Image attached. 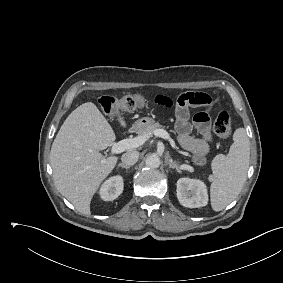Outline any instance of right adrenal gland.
Masks as SVG:
<instances>
[{
	"label": "right adrenal gland",
	"mask_w": 283,
	"mask_h": 283,
	"mask_svg": "<svg viewBox=\"0 0 283 283\" xmlns=\"http://www.w3.org/2000/svg\"><path fill=\"white\" fill-rule=\"evenodd\" d=\"M119 167L125 168L126 170L130 169V166L124 165L122 163L118 164V168Z\"/></svg>",
	"instance_id": "1"
}]
</instances>
